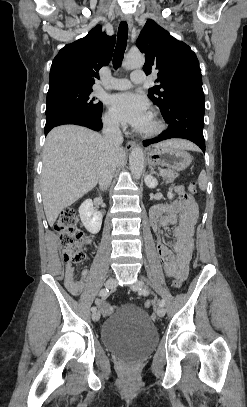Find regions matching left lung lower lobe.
<instances>
[{"instance_id": "1", "label": "left lung lower lobe", "mask_w": 247, "mask_h": 407, "mask_svg": "<svg viewBox=\"0 0 247 407\" xmlns=\"http://www.w3.org/2000/svg\"><path fill=\"white\" fill-rule=\"evenodd\" d=\"M205 106L199 104H181L175 106L163 116L168 128L154 139L144 141V146L170 138H184L197 144L205 153L203 136Z\"/></svg>"}]
</instances>
